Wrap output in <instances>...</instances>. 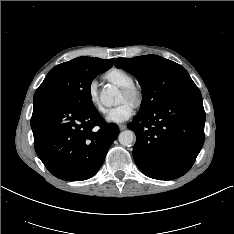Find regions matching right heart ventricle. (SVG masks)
I'll list each match as a JSON object with an SVG mask.
<instances>
[{
    "label": "right heart ventricle",
    "instance_id": "right-heart-ventricle-1",
    "mask_svg": "<svg viewBox=\"0 0 234 234\" xmlns=\"http://www.w3.org/2000/svg\"><path fill=\"white\" fill-rule=\"evenodd\" d=\"M105 78L114 85L123 88L133 84V77L127 71L113 68L105 74Z\"/></svg>",
    "mask_w": 234,
    "mask_h": 234
}]
</instances>
